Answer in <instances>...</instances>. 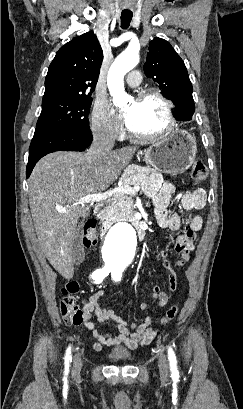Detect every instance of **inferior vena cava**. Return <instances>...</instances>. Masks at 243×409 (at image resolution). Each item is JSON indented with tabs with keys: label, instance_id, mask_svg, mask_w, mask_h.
I'll list each match as a JSON object with an SVG mask.
<instances>
[{
	"label": "inferior vena cava",
	"instance_id": "obj_1",
	"mask_svg": "<svg viewBox=\"0 0 243 409\" xmlns=\"http://www.w3.org/2000/svg\"><path fill=\"white\" fill-rule=\"evenodd\" d=\"M114 146V138L106 132L97 131L93 134V142L85 157L88 162H94L107 156Z\"/></svg>",
	"mask_w": 243,
	"mask_h": 409
}]
</instances>
